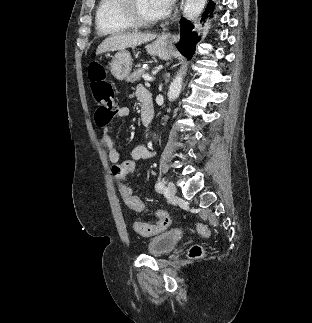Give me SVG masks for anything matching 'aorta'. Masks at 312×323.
Listing matches in <instances>:
<instances>
[{
    "mask_svg": "<svg viewBox=\"0 0 312 323\" xmlns=\"http://www.w3.org/2000/svg\"><path fill=\"white\" fill-rule=\"evenodd\" d=\"M182 90V78L181 76H176L175 80L171 82L169 86L168 98H172V100H176L179 98L180 92Z\"/></svg>",
    "mask_w": 312,
    "mask_h": 323,
    "instance_id": "762f6f07",
    "label": "aorta"
}]
</instances>
